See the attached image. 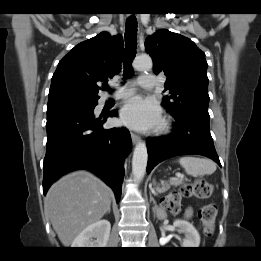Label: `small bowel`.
Masks as SVG:
<instances>
[{
  "label": "small bowel",
  "mask_w": 261,
  "mask_h": 261,
  "mask_svg": "<svg viewBox=\"0 0 261 261\" xmlns=\"http://www.w3.org/2000/svg\"><path fill=\"white\" fill-rule=\"evenodd\" d=\"M192 216V211L191 210H187L186 211V217L190 218Z\"/></svg>",
  "instance_id": "obj_1"
}]
</instances>
